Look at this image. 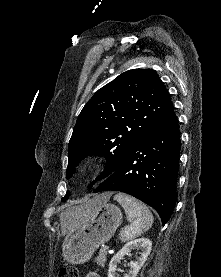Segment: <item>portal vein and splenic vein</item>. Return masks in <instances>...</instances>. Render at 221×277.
Listing matches in <instances>:
<instances>
[{
    "mask_svg": "<svg viewBox=\"0 0 221 277\" xmlns=\"http://www.w3.org/2000/svg\"><path fill=\"white\" fill-rule=\"evenodd\" d=\"M108 248H109L108 246L104 245L102 249L103 250H108Z\"/></svg>",
    "mask_w": 221,
    "mask_h": 277,
    "instance_id": "1",
    "label": "portal vein and splenic vein"
}]
</instances>
